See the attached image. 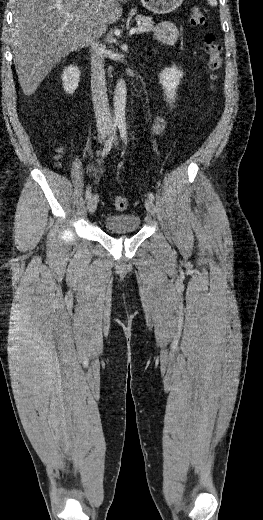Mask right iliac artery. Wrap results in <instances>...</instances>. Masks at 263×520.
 <instances>
[{
  "label": "right iliac artery",
  "mask_w": 263,
  "mask_h": 520,
  "mask_svg": "<svg viewBox=\"0 0 263 520\" xmlns=\"http://www.w3.org/2000/svg\"><path fill=\"white\" fill-rule=\"evenodd\" d=\"M117 125H118L117 121H115L112 125L110 135H109L107 141L105 142V145H104V148L102 151V158H104L110 152V149H111L112 143H113V139L116 134ZM85 197H86V199H89L91 197V188L90 187H88V189L86 190Z\"/></svg>",
  "instance_id": "82829eb1"
}]
</instances>
